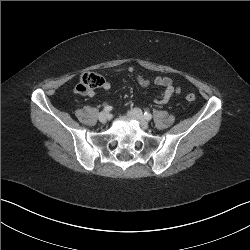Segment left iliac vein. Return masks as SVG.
<instances>
[{
	"label": "left iliac vein",
	"instance_id": "4c4485c4",
	"mask_svg": "<svg viewBox=\"0 0 250 250\" xmlns=\"http://www.w3.org/2000/svg\"><path fill=\"white\" fill-rule=\"evenodd\" d=\"M128 115L139 122L140 127L143 130L149 129V124L146 121L142 111L138 108H134L128 112Z\"/></svg>",
	"mask_w": 250,
	"mask_h": 250
}]
</instances>
